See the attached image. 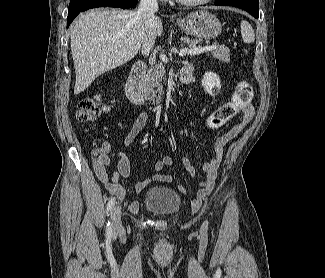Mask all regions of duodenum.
I'll list each match as a JSON object with an SVG mask.
<instances>
[{
  "label": "duodenum",
  "instance_id": "410a0bca",
  "mask_svg": "<svg viewBox=\"0 0 325 278\" xmlns=\"http://www.w3.org/2000/svg\"><path fill=\"white\" fill-rule=\"evenodd\" d=\"M193 66L186 65L180 71V82L182 84H189L193 76ZM146 72V65L143 62H139L131 69L128 78L126 80V94L132 104L138 107H143L147 104V99L142 92V79Z\"/></svg>",
  "mask_w": 325,
  "mask_h": 278
}]
</instances>
